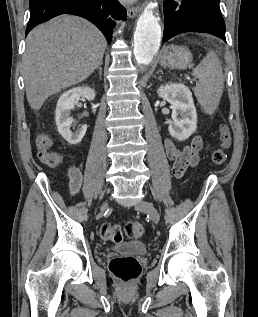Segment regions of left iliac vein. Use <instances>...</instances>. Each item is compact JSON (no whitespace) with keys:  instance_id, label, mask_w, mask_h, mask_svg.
Here are the masks:
<instances>
[{"instance_id":"1","label":"left iliac vein","mask_w":258,"mask_h":317,"mask_svg":"<svg viewBox=\"0 0 258 317\" xmlns=\"http://www.w3.org/2000/svg\"><path fill=\"white\" fill-rule=\"evenodd\" d=\"M136 210L139 211L140 213H145L149 214L152 218V223L153 224H158L159 223V212L155 207H153L152 202H148L147 200H141L137 205H134Z\"/></svg>"}]
</instances>
